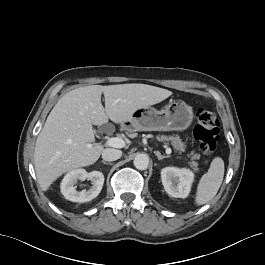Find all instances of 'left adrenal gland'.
Segmentation results:
<instances>
[{
    "label": "left adrenal gland",
    "mask_w": 265,
    "mask_h": 265,
    "mask_svg": "<svg viewBox=\"0 0 265 265\" xmlns=\"http://www.w3.org/2000/svg\"><path fill=\"white\" fill-rule=\"evenodd\" d=\"M154 153L157 156L158 160H162L164 158H169L170 157L169 155H161V153L159 151L154 152Z\"/></svg>",
    "instance_id": "a2214340"
}]
</instances>
